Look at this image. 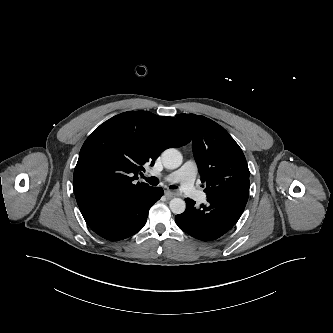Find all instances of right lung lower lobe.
I'll return each mask as SVG.
<instances>
[{"label": "right lung lower lobe", "instance_id": "1", "mask_svg": "<svg viewBox=\"0 0 333 333\" xmlns=\"http://www.w3.org/2000/svg\"><path fill=\"white\" fill-rule=\"evenodd\" d=\"M151 187L141 195L125 200L100 199L79 205L89 227L101 237L118 241L137 233L146 224L148 211L163 195Z\"/></svg>", "mask_w": 333, "mask_h": 333}]
</instances>
